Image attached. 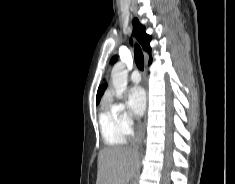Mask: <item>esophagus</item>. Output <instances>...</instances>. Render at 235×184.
Wrapping results in <instances>:
<instances>
[{
	"label": "esophagus",
	"instance_id": "esophagus-1",
	"mask_svg": "<svg viewBox=\"0 0 235 184\" xmlns=\"http://www.w3.org/2000/svg\"><path fill=\"white\" fill-rule=\"evenodd\" d=\"M146 120H147V113L145 112V115H144V122H143V129H145L146 127ZM142 150V149H141Z\"/></svg>",
	"mask_w": 235,
	"mask_h": 184
}]
</instances>
